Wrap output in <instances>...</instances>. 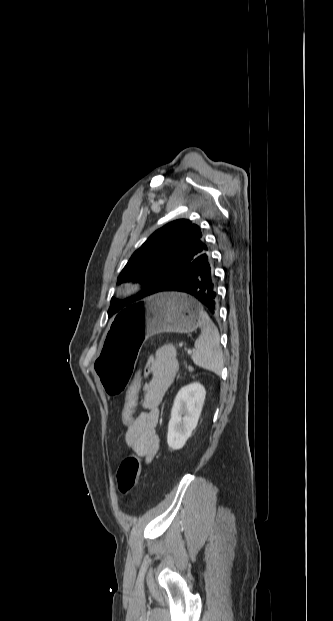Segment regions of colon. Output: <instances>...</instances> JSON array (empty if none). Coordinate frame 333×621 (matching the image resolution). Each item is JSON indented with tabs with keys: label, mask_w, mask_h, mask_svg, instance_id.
Returning <instances> with one entry per match:
<instances>
[{
	"label": "colon",
	"mask_w": 333,
	"mask_h": 621,
	"mask_svg": "<svg viewBox=\"0 0 333 621\" xmlns=\"http://www.w3.org/2000/svg\"><path fill=\"white\" fill-rule=\"evenodd\" d=\"M141 390V376L136 373L130 380L124 396L121 418L124 424L129 425L136 419L138 397ZM141 473L139 459L135 455L125 457L117 471V485L122 494L130 492L138 482Z\"/></svg>",
	"instance_id": "1"
}]
</instances>
